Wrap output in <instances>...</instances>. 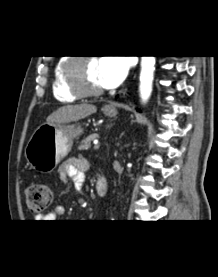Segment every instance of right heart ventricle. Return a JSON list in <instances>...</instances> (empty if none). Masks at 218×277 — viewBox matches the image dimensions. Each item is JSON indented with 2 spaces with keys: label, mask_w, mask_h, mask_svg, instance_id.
I'll use <instances>...</instances> for the list:
<instances>
[{
  "label": "right heart ventricle",
  "mask_w": 218,
  "mask_h": 277,
  "mask_svg": "<svg viewBox=\"0 0 218 277\" xmlns=\"http://www.w3.org/2000/svg\"><path fill=\"white\" fill-rule=\"evenodd\" d=\"M65 58H61L57 61L53 68L52 73V93L56 100L63 102V103H70L74 102L78 99V96L71 93L66 86L63 67L66 63Z\"/></svg>",
  "instance_id": "obj_1"
}]
</instances>
